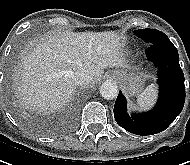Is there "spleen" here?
<instances>
[{"label": "spleen", "instance_id": "1", "mask_svg": "<svg viewBox=\"0 0 190 165\" xmlns=\"http://www.w3.org/2000/svg\"><path fill=\"white\" fill-rule=\"evenodd\" d=\"M157 96V87L155 84H150L143 92L137 96V104L142 109L151 107Z\"/></svg>", "mask_w": 190, "mask_h": 165}]
</instances>
